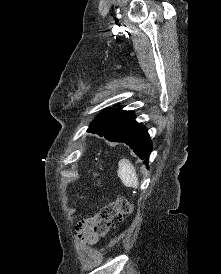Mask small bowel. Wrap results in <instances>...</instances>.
Here are the masks:
<instances>
[{"mask_svg": "<svg viewBox=\"0 0 221 274\" xmlns=\"http://www.w3.org/2000/svg\"><path fill=\"white\" fill-rule=\"evenodd\" d=\"M98 222H99V217L95 216L82 221L77 226L79 238L83 243L94 245L98 242V239H99V233L97 231Z\"/></svg>", "mask_w": 221, "mask_h": 274, "instance_id": "1", "label": "small bowel"}]
</instances>
